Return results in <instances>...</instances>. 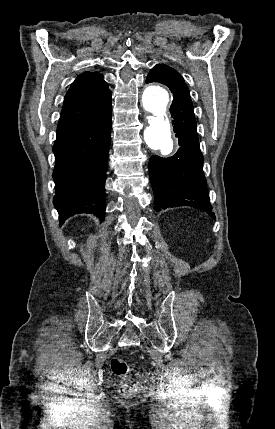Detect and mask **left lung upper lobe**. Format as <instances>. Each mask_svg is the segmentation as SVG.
<instances>
[{"label": "left lung upper lobe", "mask_w": 275, "mask_h": 429, "mask_svg": "<svg viewBox=\"0 0 275 429\" xmlns=\"http://www.w3.org/2000/svg\"><path fill=\"white\" fill-rule=\"evenodd\" d=\"M156 66H162V67L170 68L169 66H166V65H164V64H158V65H156ZM156 66H155V67H156Z\"/></svg>", "instance_id": "left-lung-upper-lobe-1"}]
</instances>
